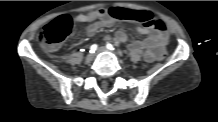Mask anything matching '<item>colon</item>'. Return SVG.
Instances as JSON below:
<instances>
[{
	"label": "colon",
	"mask_w": 218,
	"mask_h": 122,
	"mask_svg": "<svg viewBox=\"0 0 218 122\" xmlns=\"http://www.w3.org/2000/svg\"><path fill=\"white\" fill-rule=\"evenodd\" d=\"M110 13L117 19L137 22L147 27L162 28L165 26L148 11L118 7L111 9ZM71 30V19L66 15L60 16L42 28L39 35L40 44L48 49H55L65 40ZM171 54L170 49H163L158 53V60L166 61Z\"/></svg>",
	"instance_id": "colon-1"
}]
</instances>
